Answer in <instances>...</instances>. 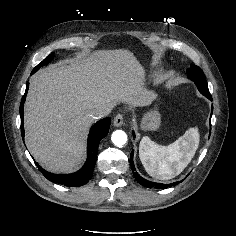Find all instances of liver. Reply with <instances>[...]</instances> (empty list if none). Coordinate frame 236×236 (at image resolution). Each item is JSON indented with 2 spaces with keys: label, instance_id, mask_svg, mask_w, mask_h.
<instances>
[{
  "label": "liver",
  "instance_id": "1",
  "mask_svg": "<svg viewBox=\"0 0 236 236\" xmlns=\"http://www.w3.org/2000/svg\"><path fill=\"white\" fill-rule=\"evenodd\" d=\"M145 72L128 50H100L51 65L32 76L24 118L26 145L51 172H68L81 162L98 105H140L153 99Z\"/></svg>",
  "mask_w": 236,
  "mask_h": 236
}]
</instances>
